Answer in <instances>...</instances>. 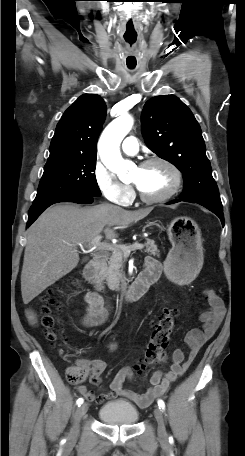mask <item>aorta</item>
Returning <instances> with one entry per match:
<instances>
[{"label": "aorta", "mask_w": 245, "mask_h": 456, "mask_svg": "<svg viewBox=\"0 0 245 456\" xmlns=\"http://www.w3.org/2000/svg\"><path fill=\"white\" fill-rule=\"evenodd\" d=\"M133 123L131 116L121 115L105 128L98 142L101 161L119 178L125 177L132 167V162L121 156L120 144L131 130Z\"/></svg>", "instance_id": "aorta-1"}]
</instances>
